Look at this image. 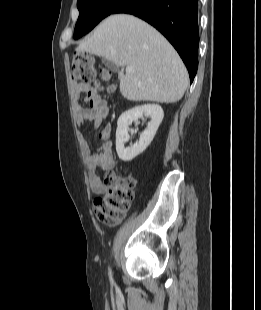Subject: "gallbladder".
<instances>
[{
    "label": "gallbladder",
    "instance_id": "gallbladder-1",
    "mask_svg": "<svg viewBox=\"0 0 261 310\" xmlns=\"http://www.w3.org/2000/svg\"><path fill=\"white\" fill-rule=\"evenodd\" d=\"M102 63L108 67L109 69L117 72L118 71V67L111 61L107 60L106 58H102Z\"/></svg>",
    "mask_w": 261,
    "mask_h": 310
}]
</instances>
